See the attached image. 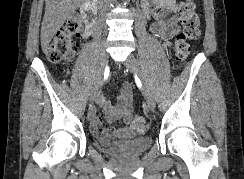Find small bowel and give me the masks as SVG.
<instances>
[{
    "label": "small bowel",
    "instance_id": "c3829d8e",
    "mask_svg": "<svg viewBox=\"0 0 244 179\" xmlns=\"http://www.w3.org/2000/svg\"><path fill=\"white\" fill-rule=\"evenodd\" d=\"M172 0L167 2H156L155 4H146L144 7V18L149 20L151 13L155 22L150 24V33L155 38L163 41L165 48L170 45V38L178 31L175 22L172 21L171 14L174 12ZM106 112V120L109 127L102 126V119L96 115L93 109L90 110L93 130L100 135L105 142L114 138H130L134 135L132 122V86L129 83H123L121 92L117 97L116 104L111 105L102 97L98 98ZM121 121V124L118 122Z\"/></svg>",
    "mask_w": 244,
    "mask_h": 179
}]
</instances>
